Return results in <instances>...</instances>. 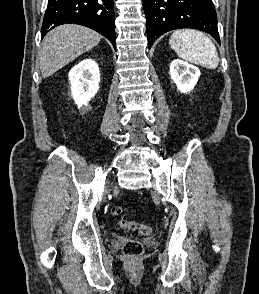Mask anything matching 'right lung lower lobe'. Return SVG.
Here are the masks:
<instances>
[{
    "instance_id": "1",
    "label": "right lung lower lobe",
    "mask_w": 259,
    "mask_h": 294,
    "mask_svg": "<svg viewBox=\"0 0 259 294\" xmlns=\"http://www.w3.org/2000/svg\"><path fill=\"white\" fill-rule=\"evenodd\" d=\"M64 23L89 27L109 39L116 48L113 0H48L41 38Z\"/></svg>"
}]
</instances>
